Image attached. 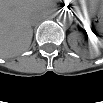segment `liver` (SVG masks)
I'll return each mask as SVG.
<instances>
[{"label": "liver", "mask_w": 103, "mask_h": 103, "mask_svg": "<svg viewBox=\"0 0 103 103\" xmlns=\"http://www.w3.org/2000/svg\"><path fill=\"white\" fill-rule=\"evenodd\" d=\"M55 9L50 0L1 1V56L12 57L26 51L32 41V15H49Z\"/></svg>", "instance_id": "liver-1"}]
</instances>
